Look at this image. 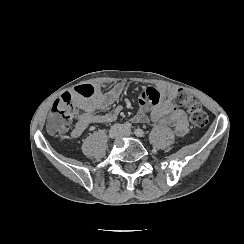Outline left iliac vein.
<instances>
[{
	"label": "left iliac vein",
	"mask_w": 244,
	"mask_h": 244,
	"mask_svg": "<svg viewBox=\"0 0 244 244\" xmlns=\"http://www.w3.org/2000/svg\"><path fill=\"white\" fill-rule=\"evenodd\" d=\"M121 135L122 136H131L132 135V131L130 129L129 130L123 129L121 131Z\"/></svg>",
	"instance_id": "4c4485c4"
}]
</instances>
